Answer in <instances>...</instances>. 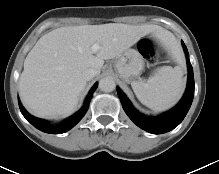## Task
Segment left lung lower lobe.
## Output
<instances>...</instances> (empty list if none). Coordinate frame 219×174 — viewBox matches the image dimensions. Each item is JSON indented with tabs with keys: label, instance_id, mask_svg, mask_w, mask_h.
I'll return each mask as SVG.
<instances>
[{
	"label": "left lung lower lobe",
	"instance_id": "left-lung-lower-lobe-1",
	"mask_svg": "<svg viewBox=\"0 0 219 174\" xmlns=\"http://www.w3.org/2000/svg\"><path fill=\"white\" fill-rule=\"evenodd\" d=\"M182 46L187 59L188 85L181 101L170 111L158 116L148 117L140 114L128 100L126 95L117 88L118 96L121 99L123 109L129 118L141 129L152 134H162L177 127L186 116L194 97V76L193 68L189 60L188 50L182 41Z\"/></svg>",
	"mask_w": 219,
	"mask_h": 174
}]
</instances>
